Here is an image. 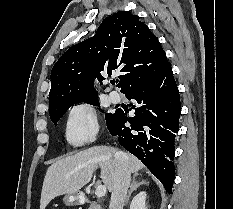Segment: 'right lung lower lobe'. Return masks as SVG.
<instances>
[{
	"label": "right lung lower lobe",
	"instance_id": "98d812e1",
	"mask_svg": "<svg viewBox=\"0 0 233 209\" xmlns=\"http://www.w3.org/2000/svg\"><path fill=\"white\" fill-rule=\"evenodd\" d=\"M139 106L133 108L135 116L117 110L107 125L111 135L140 159L171 193L175 167L174 139L179 130L181 112L180 95L171 65L155 79L125 94ZM130 123L129 127L125 123Z\"/></svg>",
	"mask_w": 233,
	"mask_h": 209
}]
</instances>
